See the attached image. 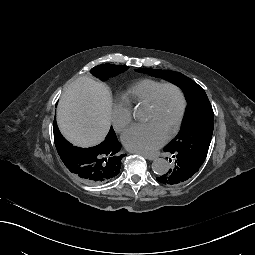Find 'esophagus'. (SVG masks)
I'll use <instances>...</instances> for the list:
<instances>
[{
	"label": "esophagus",
	"instance_id": "obj_1",
	"mask_svg": "<svg viewBox=\"0 0 255 255\" xmlns=\"http://www.w3.org/2000/svg\"><path fill=\"white\" fill-rule=\"evenodd\" d=\"M131 153L142 155V156H144L146 159H149V160H154V159L157 158L156 155H150V154H146V153L139 152V151H132Z\"/></svg>",
	"mask_w": 255,
	"mask_h": 255
}]
</instances>
